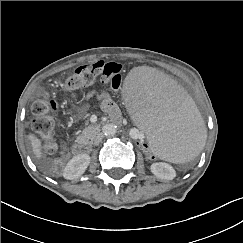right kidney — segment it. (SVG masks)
Wrapping results in <instances>:
<instances>
[{
  "label": "right kidney",
  "instance_id": "ca27d5eb",
  "mask_svg": "<svg viewBox=\"0 0 243 243\" xmlns=\"http://www.w3.org/2000/svg\"><path fill=\"white\" fill-rule=\"evenodd\" d=\"M89 163L90 156L87 154L74 156L64 169V178L71 180L80 177L87 169Z\"/></svg>",
  "mask_w": 243,
  "mask_h": 243
}]
</instances>
